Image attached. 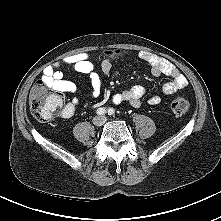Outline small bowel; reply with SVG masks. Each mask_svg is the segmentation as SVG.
I'll return each instance as SVG.
<instances>
[{"label": "small bowel", "mask_w": 221, "mask_h": 221, "mask_svg": "<svg viewBox=\"0 0 221 221\" xmlns=\"http://www.w3.org/2000/svg\"><path fill=\"white\" fill-rule=\"evenodd\" d=\"M140 60L146 62L153 76L166 75L171 80L163 86L165 94H172L178 90L184 89L188 85V80L180 70L165 58L157 56L147 51L138 53ZM62 67H70L77 77H86L90 82V97L97 99L100 97L103 90V75L110 78H115L120 75L119 71L112 69L111 60L105 59L100 65V72L87 59L86 54H75L67 56L54 64L45 68L42 76V83L50 88L75 94L77 91L76 83L73 80L67 79L64 76ZM147 94L146 88L143 86H132L112 96L114 103L122 101L129 102L134 107L141 105V99ZM161 101L160 96L153 94L149 97L150 105H157ZM80 103V99L74 96L64 107L62 116L69 118L73 116L76 106Z\"/></svg>", "instance_id": "c3829d8e"}]
</instances>
